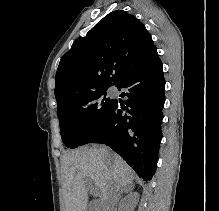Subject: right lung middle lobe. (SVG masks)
Here are the masks:
<instances>
[{
	"label": "right lung middle lobe",
	"instance_id": "right-lung-middle-lobe-1",
	"mask_svg": "<svg viewBox=\"0 0 219 211\" xmlns=\"http://www.w3.org/2000/svg\"><path fill=\"white\" fill-rule=\"evenodd\" d=\"M106 90L58 104L60 133L67 147L76 148L84 145L88 132L107 117L115 100L106 98Z\"/></svg>",
	"mask_w": 219,
	"mask_h": 211
}]
</instances>
